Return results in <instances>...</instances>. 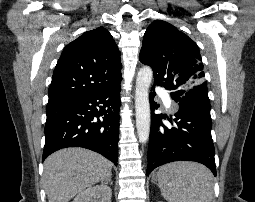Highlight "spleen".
<instances>
[{
    "instance_id": "1",
    "label": "spleen",
    "mask_w": 255,
    "mask_h": 202,
    "mask_svg": "<svg viewBox=\"0 0 255 202\" xmlns=\"http://www.w3.org/2000/svg\"><path fill=\"white\" fill-rule=\"evenodd\" d=\"M162 196L168 202H212L213 175L204 165L175 162L157 173Z\"/></svg>"
}]
</instances>
